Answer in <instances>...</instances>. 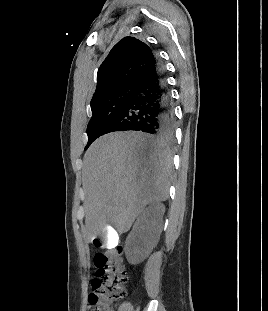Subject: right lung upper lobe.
<instances>
[{"instance_id":"1","label":"right lung upper lobe","mask_w":268,"mask_h":311,"mask_svg":"<svg viewBox=\"0 0 268 311\" xmlns=\"http://www.w3.org/2000/svg\"><path fill=\"white\" fill-rule=\"evenodd\" d=\"M156 63L150 47L134 38L120 40L102 62L91 102L121 87L135 85Z\"/></svg>"}]
</instances>
